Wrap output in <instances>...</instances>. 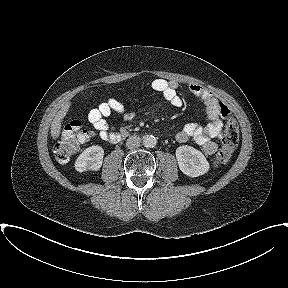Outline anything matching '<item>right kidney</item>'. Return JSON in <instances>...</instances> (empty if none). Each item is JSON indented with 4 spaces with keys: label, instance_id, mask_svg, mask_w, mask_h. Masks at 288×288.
<instances>
[{
    "label": "right kidney",
    "instance_id": "obj_1",
    "mask_svg": "<svg viewBox=\"0 0 288 288\" xmlns=\"http://www.w3.org/2000/svg\"><path fill=\"white\" fill-rule=\"evenodd\" d=\"M104 150L101 146L93 145L86 148L76 159L75 169L79 172L99 170L102 166Z\"/></svg>",
    "mask_w": 288,
    "mask_h": 288
}]
</instances>
